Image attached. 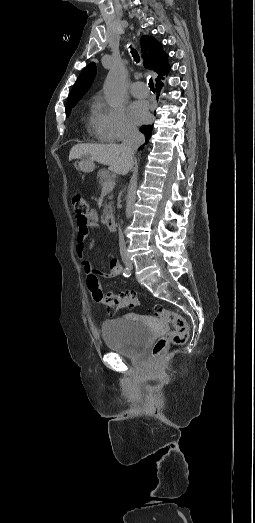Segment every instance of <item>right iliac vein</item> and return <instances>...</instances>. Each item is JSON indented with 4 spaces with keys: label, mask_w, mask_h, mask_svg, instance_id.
Instances as JSON below:
<instances>
[{
    "label": "right iliac vein",
    "mask_w": 255,
    "mask_h": 523,
    "mask_svg": "<svg viewBox=\"0 0 255 523\" xmlns=\"http://www.w3.org/2000/svg\"><path fill=\"white\" fill-rule=\"evenodd\" d=\"M126 265L129 266V265H130V262H126Z\"/></svg>",
    "instance_id": "obj_1"
}]
</instances>
